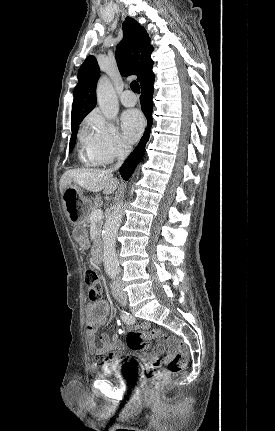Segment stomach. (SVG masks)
I'll use <instances>...</instances> for the list:
<instances>
[{
  "instance_id": "0dacf381",
  "label": "stomach",
  "mask_w": 275,
  "mask_h": 431,
  "mask_svg": "<svg viewBox=\"0 0 275 431\" xmlns=\"http://www.w3.org/2000/svg\"><path fill=\"white\" fill-rule=\"evenodd\" d=\"M62 202L68 220L75 226L83 224L87 218L91 200L77 185H69L62 194Z\"/></svg>"
}]
</instances>
